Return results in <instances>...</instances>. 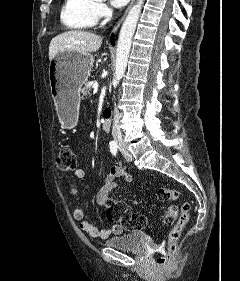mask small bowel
Segmentation results:
<instances>
[{"label": "small bowel", "instance_id": "small-bowel-1", "mask_svg": "<svg viewBox=\"0 0 240 281\" xmlns=\"http://www.w3.org/2000/svg\"><path fill=\"white\" fill-rule=\"evenodd\" d=\"M85 176V171L82 168L75 170L73 177L75 179H81ZM119 177H124L126 182L133 185L134 178L131 173H129L122 166H112L106 174L105 181L101 188L99 189L96 196V203L100 207H106L110 192L117 187L116 179ZM70 191L73 196L78 194V189L75 183H72L70 186ZM135 202V195H134ZM73 218L79 222L80 229L87 233L89 236L96 239H106L111 234H120L123 232L122 226L116 224L110 229H99L94 226L91 222L85 219L84 211L81 207L75 206L72 211Z\"/></svg>", "mask_w": 240, "mask_h": 281}]
</instances>
